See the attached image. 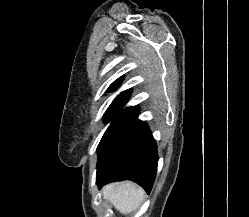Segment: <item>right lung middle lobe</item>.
Instances as JSON below:
<instances>
[{
  "mask_svg": "<svg viewBox=\"0 0 249 217\" xmlns=\"http://www.w3.org/2000/svg\"><path fill=\"white\" fill-rule=\"evenodd\" d=\"M119 98H120V96H118V97L112 102V104H114ZM112 104H111V105H112ZM111 105H110V106H111Z\"/></svg>",
  "mask_w": 249,
  "mask_h": 217,
  "instance_id": "dd1d6c3e",
  "label": "right lung middle lobe"
}]
</instances>
